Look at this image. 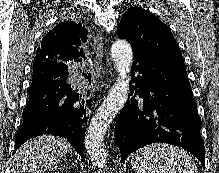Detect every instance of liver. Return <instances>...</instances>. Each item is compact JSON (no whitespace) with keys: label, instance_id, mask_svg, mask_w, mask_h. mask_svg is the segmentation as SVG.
Segmentation results:
<instances>
[{"label":"liver","instance_id":"obj_1","mask_svg":"<svg viewBox=\"0 0 219 173\" xmlns=\"http://www.w3.org/2000/svg\"><path fill=\"white\" fill-rule=\"evenodd\" d=\"M71 149L70 143L64 138L38 136L28 140L17 150L11 173H43Z\"/></svg>","mask_w":219,"mask_h":173}]
</instances>
